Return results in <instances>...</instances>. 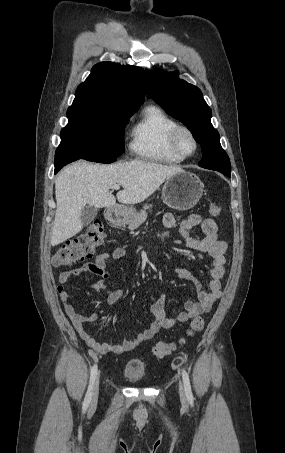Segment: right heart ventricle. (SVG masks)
<instances>
[{"mask_svg":"<svg viewBox=\"0 0 285 453\" xmlns=\"http://www.w3.org/2000/svg\"><path fill=\"white\" fill-rule=\"evenodd\" d=\"M177 122L156 105L147 106L131 129L129 147L143 159L177 164L184 158L171 148L170 135Z\"/></svg>","mask_w":285,"mask_h":453,"instance_id":"right-heart-ventricle-1","label":"right heart ventricle"}]
</instances>
